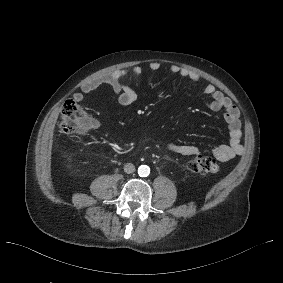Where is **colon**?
<instances>
[{
  "label": "colon",
  "instance_id": "1",
  "mask_svg": "<svg viewBox=\"0 0 283 283\" xmlns=\"http://www.w3.org/2000/svg\"><path fill=\"white\" fill-rule=\"evenodd\" d=\"M60 130L63 133L80 136L85 134L90 127V119L83 108L73 100H67L62 108ZM191 172L210 175L219 171L217 161L208 156L198 155L188 163Z\"/></svg>",
  "mask_w": 283,
  "mask_h": 283
}]
</instances>
